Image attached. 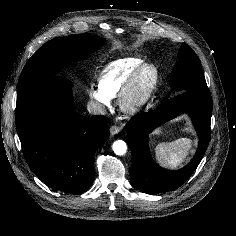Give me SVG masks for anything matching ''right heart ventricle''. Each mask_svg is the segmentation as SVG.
<instances>
[{
  "label": "right heart ventricle",
  "mask_w": 236,
  "mask_h": 236,
  "mask_svg": "<svg viewBox=\"0 0 236 236\" xmlns=\"http://www.w3.org/2000/svg\"><path fill=\"white\" fill-rule=\"evenodd\" d=\"M145 61L127 57L109 63L99 74L98 86L110 97L119 95L129 76Z\"/></svg>",
  "instance_id": "e07e8e85"
}]
</instances>
